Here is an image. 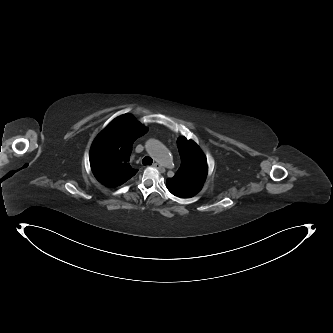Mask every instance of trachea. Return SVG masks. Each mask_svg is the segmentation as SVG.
<instances>
[{"label":"trachea","instance_id":"trachea-1","mask_svg":"<svg viewBox=\"0 0 333 333\" xmlns=\"http://www.w3.org/2000/svg\"><path fill=\"white\" fill-rule=\"evenodd\" d=\"M152 163H153V160L149 156L144 157L142 160L143 165H151Z\"/></svg>","mask_w":333,"mask_h":333}]
</instances>
